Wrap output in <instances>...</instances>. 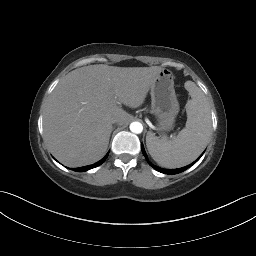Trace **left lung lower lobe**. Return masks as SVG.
Masks as SVG:
<instances>
[{"instance_id": "1", "label": "left lung lower lobe", "mask_w": 256, "mask_h": 256, "mask_svg": "<svg viewBox=\"0 0 256 256\" xmlns=\"http://www.w3.org/2000/svg\"><path fill=\"white\" fill-rule=\"evenodd\" d=\"M141 150H142V153L144 154V156H145L147 162L149 163V165L152 166V167H153L154 169H156L157 171H159V172H161V173H164V174H177V173L183 172V171H185L186 169H188L190 166H192L193 164H195V163L201 158V156L203 155V153H202V154L198 157V159L195 160V161H194L192 164H190V165H187V166H185V167H183V168L170 169V170H169V169H162V168H160V167H157V166L151 164V163L148 161V157H147V155H146V153H145V150H144L143 146H141Z\"/></svg>"}]
</instances>
